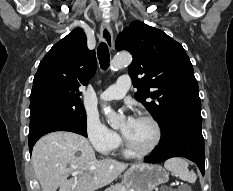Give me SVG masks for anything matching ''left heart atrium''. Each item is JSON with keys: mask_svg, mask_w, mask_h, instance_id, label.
I'll return each mask as SVG.
<instances>
[{"mask_svg": "<svg viewBox=\"0 0 233 191\" xmlns=\"http://www.w3.org/2000/svg\"><path fill=\"white\" fill-rule=\"evenodd\" d=\"M134 120H135L134 118L129 117V118L127 119V123H128V124H132Z\"/></svg>", "mask_w": 233, "mask_h": 191, "instance_id": "left-heart-atrium-1", "label": "left heart atrium"}]
</instances>
